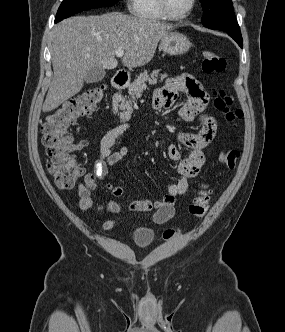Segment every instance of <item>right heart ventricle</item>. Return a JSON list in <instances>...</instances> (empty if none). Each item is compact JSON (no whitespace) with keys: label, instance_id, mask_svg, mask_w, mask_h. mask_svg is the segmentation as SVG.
Here are the masks:
<instances>
[{"label":"right heart ventricle","instance_id":"e07e8e85","mask_svg":"<svg viewBox=\"0 0 285 332\" xmlns=\"http://www.w3.org/2000/svg\"><path fill=\"white\" fill-rule=\"evenodd\" d=\"M131 11L134 16L152 21H164L168 18L162 13L158 0H131Z\"/></svg>","mask_w":285,"mask_h":332}]
</instances>
